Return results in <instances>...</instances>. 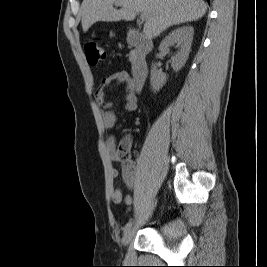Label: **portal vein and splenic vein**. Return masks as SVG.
Masks as SVG:
<instances>
[{
  "label": "portal vein and splenic vein",
  "mask_w": 267,
  "mask_h": 267,
  "mask_svg": "<svg viewBox=\"0 0 267 267\" xmlns=\"http://www.w3.org/2000/svg\"><path fill=\"white\" fill-rule=\"evenodd\" d=\"M117 5V4H116ZM147 15L145 13H141V20L144 21L146 19Z\"/></svg>",
  "instance_id": "portal-vein-and-splenic-vein-1"
}]
</instances>
